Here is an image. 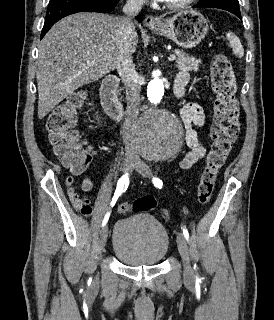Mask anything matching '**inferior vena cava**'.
I'll return each mask as SVG.
<instances>
[{
	"instance_id": "obj_1",
	"label": "inferior vena cava",
	"mask_w": 274,
	"mask_h": 320,
	"mask_svg": "<svg viewBox=\"0 0 274 320\" xmlns=\"http://www.w3.org/2000/svg\"><path fill=\"white\" fill-rule=\"evenodd\" d=\"M145 0H127L123 6L124 16L116 24V42L119 44V58L117 72L125 86L126 94V116L123 126V138L128 140L127 134L131 132L139 114L141 104L140 76H138L132 60L131 42L137 38L134 26V18L142 10ZM132 148V144H129Z\"/></svg>"
}]
</instances>
